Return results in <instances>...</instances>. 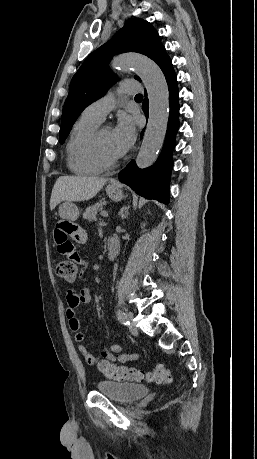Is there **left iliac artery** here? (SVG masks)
Masks as SVG:
<instances>
[{"label":"left iliac artery","mask_w":257,"mask_h":459,"mask_svg":"<svg viewBox=\"0 0 257 459\" xmlns=\"http://www.w3.org/2000/svg\"><path fill=\"white\" fill-rule=\"evenodd\" d=\"M116 315L120 323L123 325H129V321L126 319V315L122 310H117Z\"/></svg>","instance_id":"obj_1"}]
</instances>
